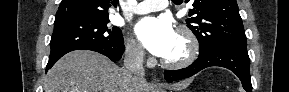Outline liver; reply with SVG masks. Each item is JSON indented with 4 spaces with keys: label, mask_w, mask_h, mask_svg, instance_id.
<instances>
[{
    "label": "liver",
    "mask_w": 289,
    "mask_h": 92,
    "mask_svg": "<svg viewBox=\"0 0 289 92\" xmlns=\"http://www.w3.org/2000/svg\"><path fill=\"white\" fill-rule=\"evenodd\" d=\"M180 85L171 89L177 90ZM152 88L106 56L87 50L64 55L44 81V92H150Z\"/></svg>",
    "instance_id": "liver-1"
}]
</instances>
